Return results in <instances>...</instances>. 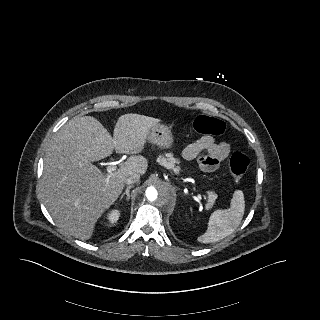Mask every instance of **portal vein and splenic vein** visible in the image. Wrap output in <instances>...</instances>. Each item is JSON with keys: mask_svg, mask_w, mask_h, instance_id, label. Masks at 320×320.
Instances as JSON below:
<instances>
[{"mask_svg": "<svg viewBox=\"0 0 320 320\" xmlns=\"http://www.w3.org/2000/svg\"><path fill=\"white\" fill-rule=\"evenodd\" d=\"M116 169H117L116 164H115V162H113V163L107 168V171H108L109 173H112V172L116 171ZM198 197H199L200 200L202 199L200 195H199Z\"/></svg>", "mask_w": 320, "mask_h": 320, "instance_id": "portal-vein-and-splenic-vein-1", "label": "portal vein and splenic vein"}]
</instances>
